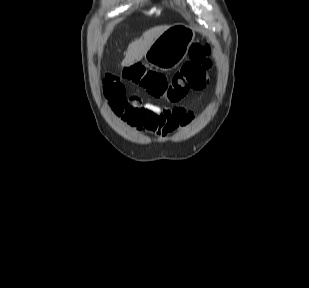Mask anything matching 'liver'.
Masks as SVG:
<instances>
[{"label":"liver","mask_w":309,"mask_h":288,"mask_svg":"<svg viewBox=\"0 0 309 288\" xmlns=\"http://www.w3.org/2000/svg\"><path fill=\"white\" fill-rule=\"evenodd\" d=\"M169 27L168 25H163L149 29L141 38L130 43L125 53V58L121 63L122 66H130L140 61L153 42Z\"/></svg>","instance_id":"liver-1"}]
</instances>
